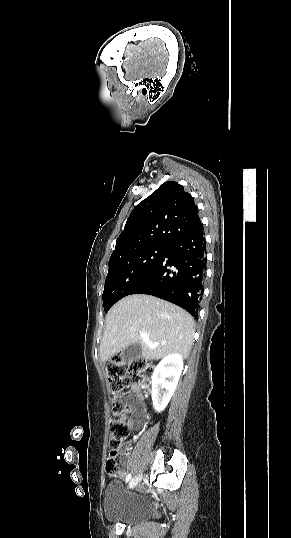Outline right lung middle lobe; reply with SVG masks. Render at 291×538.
Here are the masks:
<instances>
[{"mask_svg": "<svg viewBox=\"0 0 291 538\" xmlns=\"http://www.w3.org/2000/svg\"><path fill=\"white\" fill-rule=\"evenodd\" d=\"M169 246L153 245L109 259V270L102 295L105 312L129 295L162 259Z\"/></svg>", "mask_w": 291, "mask_h": 538, "instance_id": "right-lung-middle-lobe-1", "label": "right lung middle lobe"}]
</instances>
